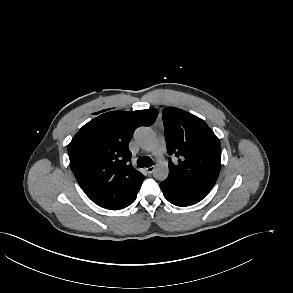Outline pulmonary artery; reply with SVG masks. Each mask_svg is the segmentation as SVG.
Wrapping results in <instances>:
<instances>
[{
	"mask_svg": "<svg viewBox=\"0 0 293 293\" xmlns=\"http://www.w3.org/2000/svg\"><path fill=\"white\" fill-rule=\"evenodd\" d=\"M159 150H160V152L165 151V142L163 139H160V141H159Z\"/></svg>",
	"mask_w": 293,
	"mask_h": 293,
	"instance_id": "obj_1",
	"label": "pulmonary artery"
}]
</instances>
